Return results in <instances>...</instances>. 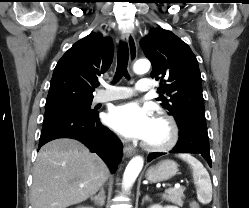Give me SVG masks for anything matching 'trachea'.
<instances>
[{"mask_svg":"<svg viewBox=\"0 0 249 208\" xmlns=\"http://www.w3.org/2000/svg\"><path fill=\"white\" fill-rule=\"evenodd\" d=\"M128 46L126 43L121 42L118 47V60L115 73V81L120 80L123 76L128 77L127 65H128Z\"/></svg>","mask_w":249,"mask_h":208,"instance_id":"trachea-1","label":"trachea"}]
</instances>
